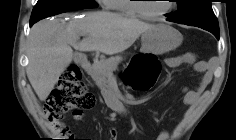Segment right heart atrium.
Returning a JSON list of instances; mask_svg holds the SVG:
<instances>
[{"label":"right heart atrium","instance_id":"d8ad5b80","mask_svg":"<svg viewBox=\"0 0 236 140\" xmlns=\"http://www.w3.org/2000/svg\"><path fill=\"white\" fill-rule=\"evenodd\" d=\"M102 4L104 5L105 8L109 9L110 6L108 5V0H102Z\"/></svg>","mask_w":236,"mask_h":140}]
</instances>
